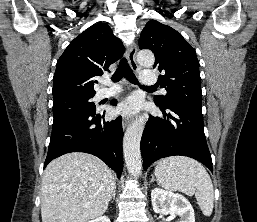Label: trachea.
Wrapping results in <instances>:
<instances>
[{
	"instance_id": "3493384b",
	"label": "trachea",
	"mask_w": 257,
	"mask_h": 222,
	"mask_svg": "<svg viewBox=\"0 0 257 222\" xmlns=\"http://www.w3.org/2000/svg\"><path fill=\"white\" fill-rule=\"evenodd\" d=\"M123 77L126 78L130 83L139 85L138 80L135 74L133 73L132 69L130 68L126 58H122L120 60L119 66L111 79L113 82H119ZM141 87L156 88L155 86H141Z\"/></svg>"
}]
</instances>
